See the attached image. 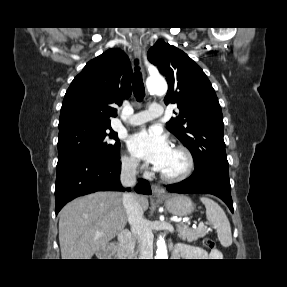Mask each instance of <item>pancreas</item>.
<instances>
[{
  "instance_id": "cf45deb5",
  "label": "pancreas",
  "mask_w": 287,
  "mask_h": 287,
  "mask_svg": "<svg viewBox=\"0 0 287 287\" xmlns=\"http://www.w3.org/2000/svg\"><path fill=\"white\" fill-rule=\"evenodd\" d=\"M177 232L179 238L187 240L188 242L196 241L198 238L204 237L208 234L206 227L190 228L187 225H177Z\"/></svg>"
}]
</instances>
